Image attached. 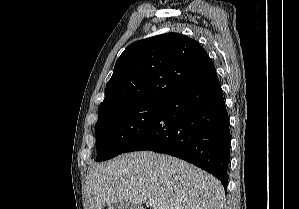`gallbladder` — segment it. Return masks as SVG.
<instances>
[{
  "label": "gallbladder",
  "instance_id": "obj_1",
  "mask_svg": "<svg viewBox=\"0 0 299 209\" xmlns=\"http://www.w3.org/2000/svg\"><path fill=\"white\" fill-rule=\"evenodd\" d=\"M108 209H142L138 204H133L128 201H121L109 206Z\"/></svg>",
  "mask_w": 299,
  "mask_h": 209
}]
</instances>
